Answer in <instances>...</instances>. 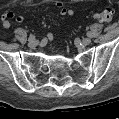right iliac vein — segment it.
<instances>
[{
    "instance_id": "63e3f726",
    "label": "right iliac vein",
    "mask_w": 119,
    "mask_h": 119,
    "mask_svg": "<svg viewBox=\"0 0 119 119\" xmlns=\"http://www.w3.org/2000/svg\"><path fill=\"white\" fill-rule=\"evenodd\" d=\"M36 45H37V41L36 40H31V41L28 42V46L30 48H34V47H36Z\"/></svg>"
}]
</instances>
